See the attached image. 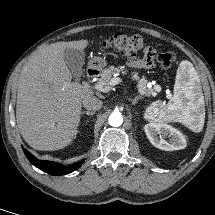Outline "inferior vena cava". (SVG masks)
<instances>
[{"label": "inferior vena cava", "instance_id": "602c4592", "mask_svg": "<svg viewBox=\"0 0 215 215\" xmlns=\"http://www.w3.org/2000/svg\"><path fill=\"white\" fill-rule=\"evenodd\" d=\"M83 107L87 110L97 111L100 110L103 106V102L95 96L88 95L83 101Z\"/></svg>", "mask_w": 215, "mask_h": 215}]
</instances>
